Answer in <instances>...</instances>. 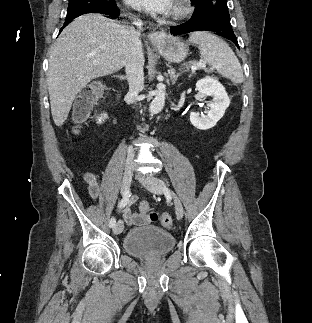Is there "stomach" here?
I'll return each mask as SVG.
<instances>
[{"label": "stomach", "instance_id": "1", "mask_svg": "<svg viewBox=\"0 0 312 323\" xmlns=\"http://www.w3.org/2000/svg\"><path fill=\"white\" fill-rule=\"evenodd\" d=\"M188 46L181 42L180 38L166 36L160 46V54L167 62H183L188 56Z\"/></svg>", "mask_w": 312, "mask_h": 323}]
</instances>
